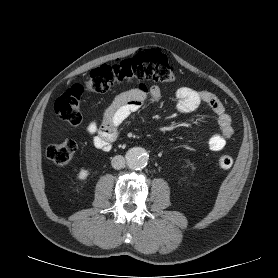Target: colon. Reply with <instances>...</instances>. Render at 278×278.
<instances>
[{
    "label": "colon",
    "instance_id": "colon-1",
    "mask_svg": "<svg viewBox=\"0 0 278 278\" xmlns=\"http://www.w3.org/2000/svg\"><path fill=\"white\" fill-rule=\"evenodd\" d=\"M147 80L157 82L177 80L167 55L158 49L141 51L119 63L104 64L93 69L86 86L76 84L65 91L55 101L54 111L61 120L71 125H78L82 120L81 100L85 91L99 94L117 84ZM76 149L75 141L67 140L48 146L45 154L51 162L62 167L73 159ZM217 164L222 169H229L233 164V159L223 154L218 157Z\"/></svg>",
    "mask_w": 278,
    "mask_h": 278
}]
</instances>
